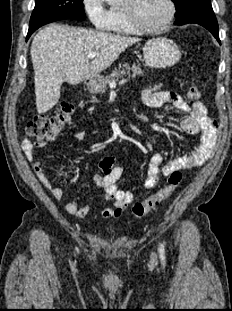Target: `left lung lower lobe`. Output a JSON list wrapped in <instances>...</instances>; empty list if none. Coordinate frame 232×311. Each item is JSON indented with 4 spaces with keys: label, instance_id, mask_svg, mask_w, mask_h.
I'll list each match as a JSON object with an SVG mask.
<instances>
[{
    "label": "left lung lower lobe",
    "instance_id": "obj_1",
    "mask_svg": "<svg viewBox=\"0 0 232 311\" xmlns=\"http://www.w3.org/2000/svg\"><path fill=\"white\" fill-rule=\"evenodd\" d=\"M196 23L208 29L219 41L218 24L210 0H201L176 16L174 24Z\"/></svg>",
    "mask_w": 232,
    "mask_h": 311
}]
</instances>
